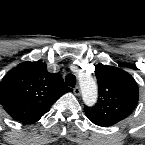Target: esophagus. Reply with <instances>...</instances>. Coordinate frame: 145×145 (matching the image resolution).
<instances>
[{"instance_id": "34e87169", "label": "esophagus", "mask_w": 145, "mask_h": 145, "mask_svg": "<svg viewBox=\"0 0 145 145\" xmlns=\"http://www.w3.org/2000/svg\"><path fill=\"white\" fill-rule=\"evenodd\" d=\"M73 92H74V94H75L76 96H79L80 93H81L80 87H79V86H76V87L74 88Z\"/></svg>"}]
</instances>
